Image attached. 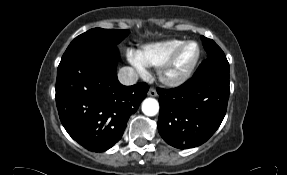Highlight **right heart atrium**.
<instances>
[{
    "instance_id": "right-heart-atrium-1",
    "label": "right heart atrium",
    "mask_w": 287,
    "mask_h": 175,
    "mask_svg": "<svg viewBox=\"0 0 287 175\" xmlns=\"http://www.w3.org/2000/svg\"><path fill=\"white\" fill-rule=\"evenodd\" d=\"M127 58L140 74H146L145 66L141 63L138 52L129 50L127 52Z\"/></svg>"
}]
</instances>
